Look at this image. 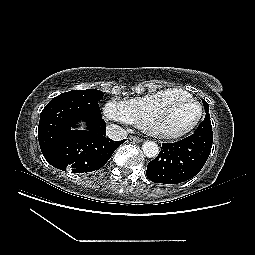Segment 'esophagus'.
Returning <instances> with one entry per match:
<instances>
[{
    "mask_svg": "<svg viewBox=\"0 0 255 255\" xmlns=\"http://www.w3.org/2000/svg\"><path fill=\"white\" fill-rule=\"evenodd\" d=\"M129 139H130V141L135 142V143H140L143 141V139H141L139 137H135V136H130Z\"/></svg>",
    "mask_w": 255,
    "mask_h": 255,
    "instance_id": "34e87169",
    "label": "esophagus"
}]
</instances>
